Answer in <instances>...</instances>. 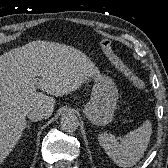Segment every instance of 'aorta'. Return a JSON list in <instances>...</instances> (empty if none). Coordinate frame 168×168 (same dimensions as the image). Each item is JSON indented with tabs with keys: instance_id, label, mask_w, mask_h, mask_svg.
I'll return each mask as SVG.
<instances>
[{
	"instance_id": "1",
	"label": "aorta",
	"mask_w": 168,
	"mask_h": 168,
	"mask_svg": "<svg viewBox=\"0 0 168 168\" xmlns=\"http://www.w3.org/2000/svg\"><path fill=\"white\" fill-rule=\"evenodd\" d=\"M60 126L66 132H74L79 126L78 118L74 114H66L61 118Z\"/></svg>"
}]
</instances>
